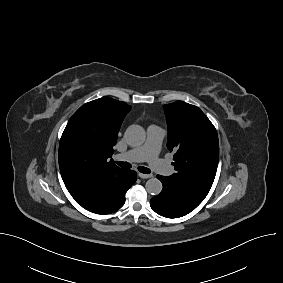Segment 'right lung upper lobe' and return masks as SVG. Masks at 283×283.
<instances>
[{
	"instance_id": "obj_1",
	"label": "right lung upper lobe",
	"mask_w": 283,
	"mask_h": 283,
	"mask_svg": "<svg viewBox=\"0 0 283 283\" xmlns=\"http://www.w3.org/2000/svg\"><path fill=\"white\" fill-rule=\"evenodd\" d=\"M130 110L125 102L102 97L81 106L68 121L59 145V167L76 201L124 170L109 158Z\"/></svg>"
}]
</instances>
